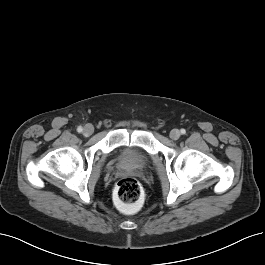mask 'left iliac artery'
<instances>
[{
  "label": "left iliac artery",
  "instance_id": "1",
  "mask_svg": "<svg viewBox=\"0 0 265 265\" xmlns=\"http://www.w3.org/2000/svg\"><path fill=\"white\" fill-rule=\"evenodd\" d=\"M186 130L185 129H181V134H185Z\"/></svg>",
  "mask_w": 265,
  "mask_h": 265
}]
</instances>
